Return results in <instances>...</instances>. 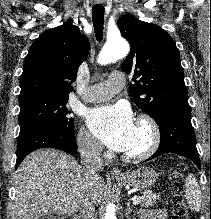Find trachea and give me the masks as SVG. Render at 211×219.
Wrapping results in <instances>:
<instances>
[{"instance_id": "obj_1", "label": "trachea", "mask_w": 211, "mask_h": 219, "mask_svg": "<svg viewBox=\"0 0 211 219\" xmlns=\"http://www.w3.org/2000/svg\"><path fill=\"white\" fill-rule=\"evenodd\" d=\"M92 20L97 41H101L104 29V7L102 5L92 8Z\"/></svg>"}]
</instances>
